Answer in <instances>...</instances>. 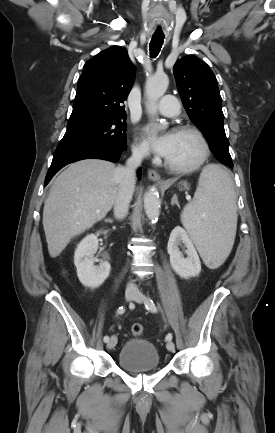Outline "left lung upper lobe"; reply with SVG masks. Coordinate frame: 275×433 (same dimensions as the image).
I'll list each match as a JSON object with an SVG mask.
<instances>
[{
    "label": "left lung upper lobe",
    "mask_w": 275,
    "mask_h": 433,
    "mask_svg": "<svg viewBox=\"0 0 275 433\" xmlns=\"http://www.w3.org/2000/svg\"><path fill=\"white\" fill-rule=\"evenodd\" d=\"M173 72L188 116L201 130L216 157L231 167L233 163L223 126L222 100L214 73L195 56L177 61Z\"/></svg>",
    "instance_id": "obj_1"
}]
</instances>
